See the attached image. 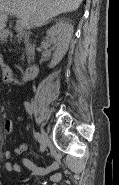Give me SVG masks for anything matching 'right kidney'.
Segmentation results:
<instances>
[{"label": "right kidney", "mask_w": 119, "mask_h": 185, "mask_svg": "<svg viewBox=\"0 0 119 185\" xmlns=\"http://www.w3.org/2000/svg\"><path fill=\"white\" fill-rule=\"evenodd\" d=\"M73 32V25L65 21H59L47 30L48 42L55 47L49 68H53L62 60L68 50Z\"/></svg>", "instance_id": "ca27d5eb"}]
</instances>
